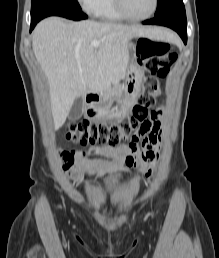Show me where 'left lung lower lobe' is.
I'll use <instances>...</instances> for the list:
<instances>
[{
  "mask_svg": "<svg viewBox=\"0 0 219 258\" xmlns=\"http://www.w3.org/2000/svg\"><path fill=\"white\" fill-rule=\"evenodd\" d=\"M142 23L169 27L180 35L185 44L187 43L186 13H168L159 17H154L151 20H146Z\"/></svg>",
  "mask_w": 219,
  "mask_h": 258,
  "instance_id": "1",
  "label": "left lung lower lobe"
}]
</instances>
